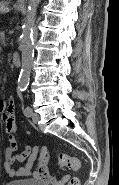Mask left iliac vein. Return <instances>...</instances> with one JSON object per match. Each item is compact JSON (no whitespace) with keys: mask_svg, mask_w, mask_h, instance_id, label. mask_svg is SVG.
<instances>
[{"mask_svg":"<svg viewBox=\"0 0 119 185\" xmlns=\"http://www.w3.org/2000/svg\"><path fill=\"white\" fill-rule=\"evenodd\" d=\"M32 121L36 124L39 121V115L35 112H32Z\"/></svg>","mask_w":119,"mask_h":185,"instance_id":"1","label":"left iliac vein"}]
</instances>
